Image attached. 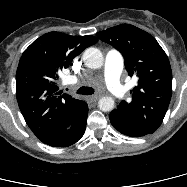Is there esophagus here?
Instances as JSON below:
<instances>
[{"mask_svg":"<svg viewBox=\"0 0 187 187\" xmlns=\"http://www.w3.org/2000/svg\"><path fill=\"white\" fill-rule=\"evenodd\" d=\"M100 98V95H93V96H88L87 101L88 102H95Z\"/></svg>","mask_w":187,"mask_h":187,"instance_id":"esophagus-1","label":"esophagus"}]
</instances>
